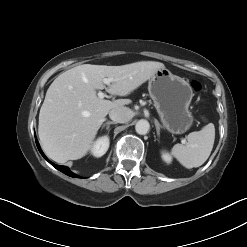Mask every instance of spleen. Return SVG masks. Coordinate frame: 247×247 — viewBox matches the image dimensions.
Segmentation results:
<instances>
[{
	"instance_id": "1",
	"label": "spleen",
	"mask_w": 247,
	"mask_h": 247,
	"mask_svg": "<svg viewBox=\"0 0 247 247\" xmlns=\"http://www.w3.org/2000/svg\"><path fill=\"white\" fill-rule=\"evenodd\" d=\"M214 140L215 127L209 123L202 130L190 133L186 146L175 144L171 153L185 168L199 167L210 156Z\"/></svg>"
}]
</instances>
